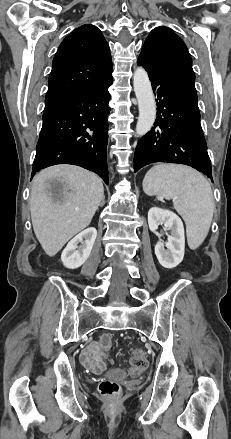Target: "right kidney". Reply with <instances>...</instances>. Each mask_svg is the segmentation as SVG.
Listing matches in <instances>:
<instances>
[{
	"instance_id": "obj_1",
	"label": "right kidney",
	"mask_w": 231,
	"mask_h": 439,
	"mask_svg": "<svg viewBox=\"0 0 231 439\" xmlns=\"http://www.w3.org/2000/svg\"><path fill=\"white\" fill-rule=\"evenodd\" d=\"M96 237L97 230L94 227L87 228L75 236L62 252L63 265L69 269L82 266L92 251Z\"/></svg>"
}]
</instances>
